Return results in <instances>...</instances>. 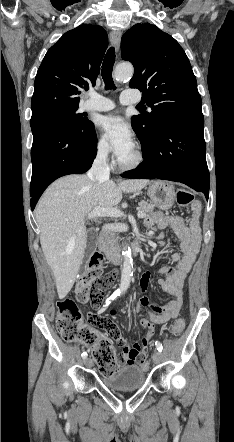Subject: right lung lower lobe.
<instances>
[{
    "mask_svg": "<svg viewBox=\"0 0 234 442\" xmlns=\"http://www.w3.org/2000/svg\"><path fill=\"white\" fill-rule=\"evenodd\" d=\"M32 179L31 209L44 190L57 178L86 172L96 156L97 137L93 128L87 134L69 130L57 123H42L31 127Z\"/></svg>",
    "mask_w": 234,
    "mask_h": 442,
    "instance_id": "obj_1",
    "label": "right lung lower lobe"
}]
</instances>
